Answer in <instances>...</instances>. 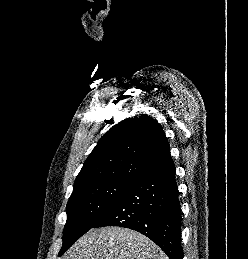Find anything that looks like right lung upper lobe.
I'll list each match as a JSON object with an SVG mask.
<instances>
[{
	"mask_svg": "<svg viewBox=\"0 0 248 259\" xmlns=\"http://www.w3.org/2000/svg\"><path fill=\"white\" fill-rule=\"evenodd\" d=\"M172 163L160 124L145 114L128 118L101 137L76 177L73 189L112 180L133 183Z\"/></svg>",
	"mask_w": 248,
	"mask_h": 259,
	"instance_id": "1",
	"label": "right lung upper lobe"
}]
</instances>
